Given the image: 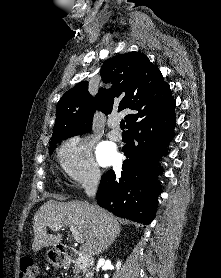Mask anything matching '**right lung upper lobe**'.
Masks as SVG:
<instances>
[{
    "instance_id": "cb5924a9",
    "label": "right lung upper lobe",
    "mask_w": 221,
    "mask_h": 278,
    "mask_svg": "<svg viewBox=\"0 0 221 278\" xmlns=\"http://www.w3.org/2000/svg\"><path fill=\"white\" fill-rule=\"evenodd\" d=\"M100 75L104 83L112 82L113 86L101 88L95 98L88 92L86 81L61 97L50 146L90 131L97 109L106 115L113 109L129 110L130 114L125 116L128 129L175 106L170 86L144 54L129 52L114 56L103 64Z\"/></svg>"
}]
</instances>
